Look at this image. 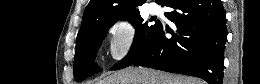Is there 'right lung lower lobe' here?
Instances as JSON below:
<instances>
[{
    "mask_svg": "<svg viewBox=\"0 0 260 84\" xmlns=\"http://www.w3.org/2000/svg\"><path fill=\"white\" fill-rule=\"evenodd\" d=\"M166 16L177 33L165 36L162 24L149 49L131 65L191 75L222 84L227 39L226 14L220 0H168ZM167 31V29H166Z\"/></svg>",
    "mask_w": 260,
    "mask_h": 84,
    "instance_id": "1",
    "label": "right lung lower lobe"
}]
</instances>
